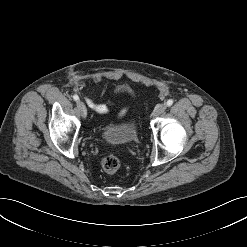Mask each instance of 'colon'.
<instances>
[{
  "instance_id": "5ec220e1",
  "label": "colon",
  "mask_w": 247,
  "mask_h": 247,
  "mask_svg": "<svg viewBox=\"0 0 247 247\" xmlns=\"http://www.w3.org/2000/svg\"><path fill=\"white\" fill-rule=\"evenodd\" d=\"M101 166L105 172L112 174L119 170L121 162L116 155H108L102 159Z\"/></svg>"
}]
</instances>
